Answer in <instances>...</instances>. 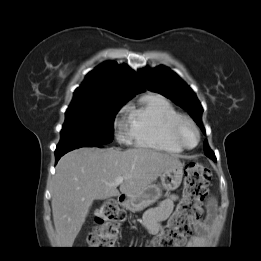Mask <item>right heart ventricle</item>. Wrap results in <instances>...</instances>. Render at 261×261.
<instances>
[{
  "label": "right heart ventricle",
  "mask_w": 261,
  "mask_h": 261,
  "mask_svg": "<svg viewBox=\"0 0 261 261\" xmlns=\"http://www.w3.org/2000/svg\"><path fill=\"white\" fill-rule=\"evenodd\" d=\"M128 137L137 147L179 154L173 126L181 117L172 103L160 94L147 93L126 108Z\"/></svg>",
  "instance_id": "e07e8e85"
}]
</instances>
